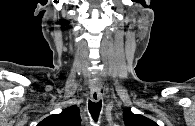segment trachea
Here are the masks:
<instances>
[{
	"instance_id": "trachea-1",
	"label": "trachea",
	"mask_w": 195,
	"mask_h": 126,
	"mask_svg": "<svg viewBox=\"0 0 195 126\" xmlns=\"http://www.w3.org/2000/svg\"><path fill=\"white\" fill-rule=\"evenodd\" d=\"M101 107H102L101 101L93 102V101L89 100V103H88L89 112L95 121L98 120V117H99V114L101 111Z\"/></svg>"
}]
</instances>
